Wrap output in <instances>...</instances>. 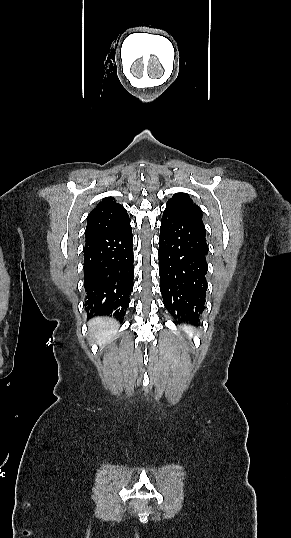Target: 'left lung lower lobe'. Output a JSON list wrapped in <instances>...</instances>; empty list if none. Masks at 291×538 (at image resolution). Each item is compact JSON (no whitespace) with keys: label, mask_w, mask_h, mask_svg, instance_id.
I'll return each instance as SVG.
<instances>
[{"label":"left lung lower lobe","mask_w":291,"mask_h":538,"mask_svg":"<svg viewBox=\"0 0 291 538\" xmlns=\"http://www.w3.org/2000/svg\"><path fill=\"white\" fill-rule=\"evenodd\" d=\"M205 235L202 221L164 211L158 250L160 290L165 308L178 321L198 324L204 310L208 287Z\"/></svg>","instance_id":"left-lung-lower-lobe-1"}]
</instances>
